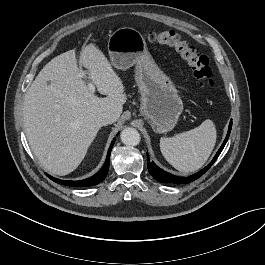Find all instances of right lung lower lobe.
<instances>
[{"mask_svg": "<svg viewBox=\"0 0 265 265\" xmlns=\"http://www.w3.org/2000/svg\"><path fill=\"white\" fill-rule=\"evenodd\" d=\"M115 139L113 140V142L110 145V148L108 150L107 153V158L105 160V163L103 165V167L100 169V171L98 173H96L94 176L84 179V180H78V181H69V180H60L57 178H54L50 175H47L51 180H53L56 183H61L62 185L65 186H74V187H88V186H94L97 185L98 183H100L102 180L105 179V177L107 176L108 170H109V160H110V153L112 150V147L114 145Z\"/></svg>", "mask_w": 265, "mask_h": 265, "instance_id": "98d812e1", "label": "right lung lower lobe"}]
</instances>
